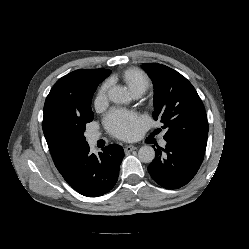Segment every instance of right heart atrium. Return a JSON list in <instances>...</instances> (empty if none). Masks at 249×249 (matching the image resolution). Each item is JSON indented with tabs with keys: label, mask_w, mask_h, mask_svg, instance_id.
Listing matches in <instances>:
<instances>
[{
	"label": "right heart atrium",
	"mask_w": 249,
	"mask_h": 249,
	"mask_svg": "<svg viewBox=\"0 0 249 249\" xmlns=\"http://www.w3.org/2000/svg\"><path fill=\"white\" fill-rule=\"evenodd\" d=\"M109 88H110L109 82H104L100 86L95 100L97 106H101L106 101Z\"/></svg>",
	"instance_id": "1"
}]
</instances>
